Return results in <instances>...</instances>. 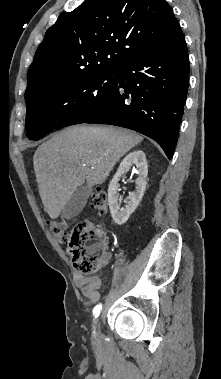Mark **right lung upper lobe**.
Wrapping results in <instances>:
<instances>
[{"instance_id":"obj_1","label":"right lung upper lobe","mask_w":221,"mask_h":379,"mask_svg":"<svg viewBox=\"0 0 221 379\" xmlns=\"http://www.w3.org/2000/svg\"><path fill=\"white\" fill-rule=\"evenodd\" d=\"M179 29L166 0H86L47 30L29 69L25 100L78 76L118 69Z\"/></svg>"}]
</instances>
